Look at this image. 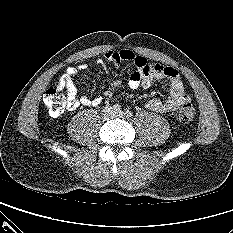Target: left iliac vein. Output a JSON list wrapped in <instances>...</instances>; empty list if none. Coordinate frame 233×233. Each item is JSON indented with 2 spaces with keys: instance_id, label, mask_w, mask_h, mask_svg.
<instances>
[{
  "instance_id": "left-iliac-vein-1",
  "label": "left iliac vein",
  "mask_w": 233,
  "mask_h": 233,
  "mask_svg": "<svg viewBox=\"0 0 233 233\" xmlns=\"http://www.w3.org/2000/svg\"><path fill=\"white\" fill-rule=\"evenodd\" d=\"M115 116H116V117H122V116H123V112H122V111L116 112V113H115Z\"/></svg>"
}]
</instances>
